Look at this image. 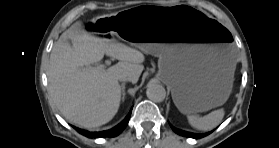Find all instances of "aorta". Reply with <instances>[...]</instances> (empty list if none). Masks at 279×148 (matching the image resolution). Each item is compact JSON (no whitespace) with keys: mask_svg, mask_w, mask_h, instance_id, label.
Masks as SVG:
<instances>
[{"mask_svg":"<svg viewBox=\"0 0 279 148\" xmlns=\"http://www.w3.org/2000/svg\"><path fill=\"white\" fill-rule=\"evenodd\" d=\"M147 97L153 102H162L166 97V90L162 85L150 84L147 88Z\"/></svg>","mask_w":279,"mask_h":148,"instance_id":"762f6f07","label":"aorta"}]
</instances>
